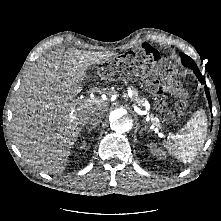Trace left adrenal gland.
<instances>
[{
    "mask_svg": "<svg viewBox=\"0 0 221 221\" xmlns=\"http://www.w3.org/2000/svg\"><path fill=\"white\" fill-rule=\"evenodd\" d=\"M146 128H147V127L145 126V127L142 128V130H145Z\"/></svg>",
    "mask_w": 221,
    "mask_h": 221,
    "instance_id": "left-adrenal-gland-1",
    "label": "left adrenal gland"
}]
</instances>
